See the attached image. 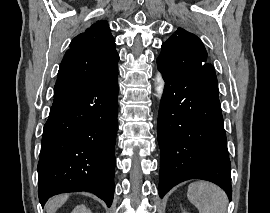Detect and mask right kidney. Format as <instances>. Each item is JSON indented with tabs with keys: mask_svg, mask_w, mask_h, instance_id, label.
Returning <instances> with one entry per match:
<instances>
[{
	"mask_svg": "<svg viewBox=\"0 0 270 213\" xmlns=\"http://www.w3.org/2000/svg\"><path fill=\"white\" fill-rule=\"evenodd\" d=\"M71 213H92L85 205H78Z\"/></svg>",
	"mask_w": 270,
	"mask_h": 213,
	"instance_id": "right-kidney-1",
	"label": "right kidney"
}]
</instances>
